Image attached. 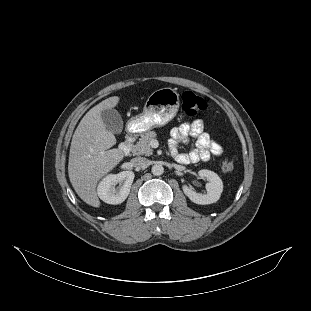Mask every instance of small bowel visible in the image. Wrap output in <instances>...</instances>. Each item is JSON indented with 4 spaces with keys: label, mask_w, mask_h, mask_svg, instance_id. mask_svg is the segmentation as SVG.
<instances>
[{
    "label": "small bowel",
    "mask_w": 311,
    "mask_h": 311,
    "mask_svg": "<svg viewBox=\"0 0 311 311\" xmlns=\"http://www.w3.org/2000/svg\"><path fill=\"white\" fill-rule=\"evenodd\" d=\"M190 138L195 139V147L188 152H180V144H187ZM169 150L173 158L180 164L208 161L211 156H220L223 149L213 140L204 129V122L200 119L185 122L171 131Z\"/></svg>",
    "instance_id": "1"
}]
</instances>
